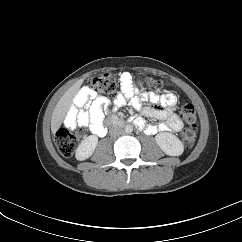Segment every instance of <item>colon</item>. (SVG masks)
<instances>
[{
	"instance_id": "colon-1",
	"label": "colon",
	"mask_w": 242,
	"mask_h": 242,
	"mask_svg": "<svg viewBox=\"0 0 242 242\" xmlns=\"http://www.w3.org/2000/svg\"><path fill=\"white\" fill-rule=\"evenodd\" d=\"M89 86L98 96L115 97L118 83L116 76L107 72L94 78ZM147 86L156 90L165 88L163 81L151 78L147 80ZM180 116L184 123L181 132L183 144L191 147L197 136V116L194 106L189 103L183 104ZM55 141L58 151L64 157L72 156L78 144L77 136L69 128H60L56 133Z\"/></svg>"
}]
</instances>
